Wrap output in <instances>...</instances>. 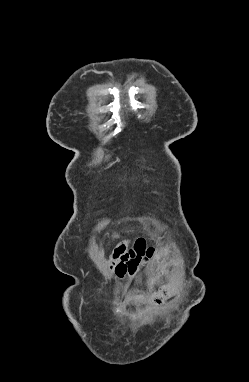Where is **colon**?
<instances>
[{"mask_svg":"<svg viewBox=\"0 0 249 382\" xmlns=\"http://www.w3.org/2000/svg\"><path fill=\"white\" fill-rule=\"evenodd\" d=\"M129 252H131V250ZM153 253H154V250H153L152 247L148 246L147 248H144V255H143V259L142 260L152 257ZM152 269L153 270H159L160 266L159 265H153ZM164 274H165V271L161 270L160 273L156 274V277L160 278L161 275H164Z\"/></svg>","mask_w":249,"mask_h":382,"instance_id":"obj_1","label":"colon"}]
</instances>
